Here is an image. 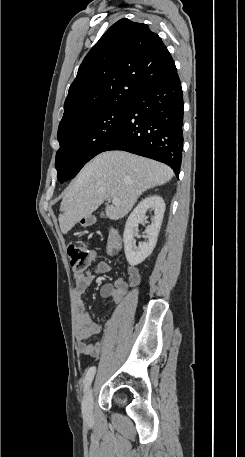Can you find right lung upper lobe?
Returning a JSON list of instances; mask_svg holds the SVG:
<instances>
[{"label":"right lung upper lobe","instance_id":"right-lung-upper-lobe-1","mask_svg":"<svg viewBox=\"0 0 245 457\" xmlns=\"http://www.w3.org/2000/svg\"><path fill=\"white\" fill-rule=\"evenodd\" d=\"M175 71L174 61L156 33L145 24L121 19L84 58L59 125L108 103L132 100L147 83Z\"/></svg>","mask_w":245,"mask_h":457}]
</instances>
